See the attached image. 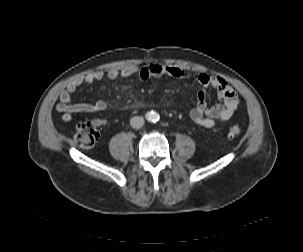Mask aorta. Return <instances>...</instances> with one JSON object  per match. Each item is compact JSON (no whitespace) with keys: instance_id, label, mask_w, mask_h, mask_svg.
Instances as JSON below:
<instances>
[{"instance_id":"1","label":"aorta","mask_w":303,"mask_h":252,"mask_svg":"<svg viewBox=\"0 0 303 252\" xmlns=\"http://www.w3.org/2000/svg\"><path fill=\"white\" fill-rule=\"evenodd\" d=\"M159 119V115L156 112L148 113V120L150 122H156Z\"/></svg>"}]
</instances>
